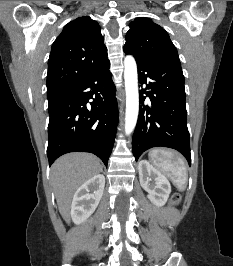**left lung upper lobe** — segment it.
I'll use <instances>...</instances> for the list:
<instances>
[{"instance_id": "1", "label": "left lung upper lobe", "mask_w": 233, "mask_h": 266, "mask_svg": "<svg viewBox=\"0 0 233 266\" xmlns=\"http://www.w3.org/2000/svg\"><path fill=\"white\" fill-rule=\"evenodd\" d=\"M124 52L150 63L181 66L168 33L148 18H136L126 34Z\"/></svg>"}]
</instances>
